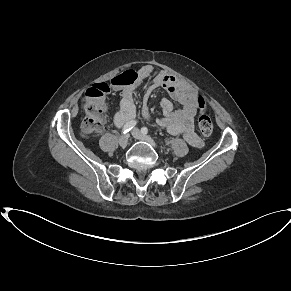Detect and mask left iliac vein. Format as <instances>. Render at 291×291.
<instances>
[{
  "label": "left iliac vein",
  "instance_id": "obj_1",
  "mask_svg": "<svg viewBox=\"0 0 291 291\" xmlns=\"http://www.w3.org/2000/svg\"><path fill=\"white\" fill-rule=\"evenodd\" d=\"M132 135H133L134 138H136L138 140L146 141V142L150 143L154 147L157 146L156 143L154 142V140L151 137L142 134L139 129H134L133 132H132Z\"/></svg>",
  "mask_w": 291,
  "mask_h": 291
}]
</instances>
